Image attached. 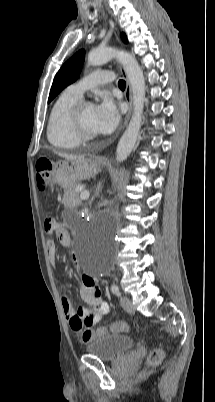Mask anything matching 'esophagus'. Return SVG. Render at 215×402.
<instances>
[{
	"label": "esophagus",
	"instance_id": "obj_1",
	"mask_svg": "<svg viewBox=\"0 0 215 402\" xmlns=\"http://www.w3.org/2000/svg\"><path fill=\"white\" fill-rule=\"evenodd\" d=\"M119 69L121 71V74L123 75V77L125 78V80L127 82V86H126V90H125V100L128 104V112H127V115L124 120V126H126L129 121V118L131 116V112H132V89H131V85L129 83L128 76H127L125 69L121 65H119Z\"/></svg>",
	"mask_w": 215,
	"mask_h": 402
}]
</instances>
